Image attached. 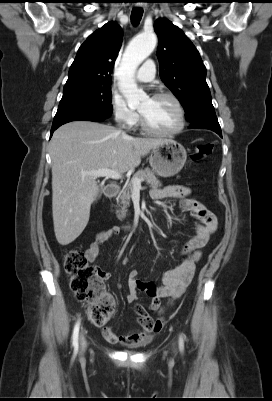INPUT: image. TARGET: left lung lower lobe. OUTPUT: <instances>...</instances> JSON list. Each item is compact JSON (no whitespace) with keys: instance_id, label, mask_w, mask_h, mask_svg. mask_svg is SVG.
Segmentation results:
<instances>
[{"instance_id":"left-lung-lower-lobe-1","label":"left lung lower lobe","mask_w":272,"mask_h":401,"mask_svg":"<svg viewBox=\"0 0 272 401\" xmlns=\"http://www.w3.org/2000/svg\"><path fill=\"white\" fill-rule=\"evenodd\" d=\"M190 123V128L209 129L216 132L220 137H222L221 128L216 115L198 117L190 121Z\"/></svg>"}]
</instances>
